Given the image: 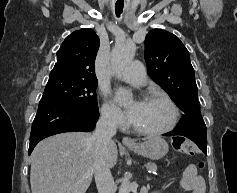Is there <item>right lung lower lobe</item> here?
Returning a JSON list of instances; mask_svg holds the SVG:
<instances>
[{
  "mask_svg": "<svg viewBox=\"0 0 237 193\" xmlns=\"http://www.w3.org/2000/svg\"><path fill=\"white\" fill-rule=\"evenodd\" d=\"M98 118L99 111H83L59 103L40 102L31 128L28 154L38 142L51 135L93 130Z\"/></svg>",
  "mask_w": 237,
  "mask_h": 193,
  "instance_id": "right-lung-lower-lobe-1",
  "label": "right lung lower lobe"
}]
</instances>
